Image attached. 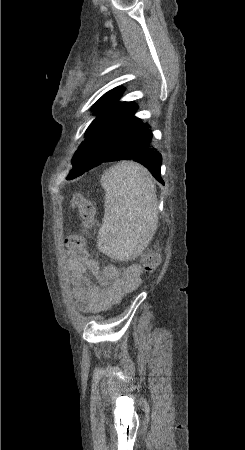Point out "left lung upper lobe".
Here are the masks:
<instances>
[{
	"mask_svg": "<svg viewBox=\"0 0 245 450\" xmlns=\"http://www.w3.org/2000/svg\"><path fill=\"white\" fill-rule=\"evenodd\" d=\"M122 95V89L116 88L104 94L93 106L92 111L97 117L90 124L85 133L83 146H105V148H122L129 140L140 131L143 122L134 116L138 106L134 102H118ZM75 152L72 160L73 169L67 179L84 173L100 162L96 155L90 160ZM100 153V152H99Z\"/></svg>",
	"mask_w": 245,
	"mask_h": 450,
	"instance_id": "1",
	"label": "left lung upper lobe"
}]
</instances>
